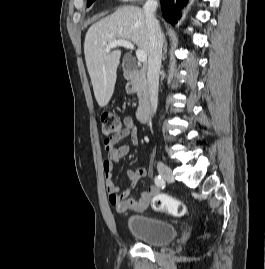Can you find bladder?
Here are the masks:
<instances>
[{
  "label": "bladder",
  "instance_id": "bladder-1",
  "mask_svg": "<svg viewBox=\"0 0 265 269\" xmlns=\"http://www.w3.org/2000/svg\"><path fill=\"white\" fill-rule=\"evenodd\" d=\"M126 227L128 232L140 242L151 246L169 244L177 234L173 224L145 215L129 216Z\"/></svg>",
  "mask_w": 265,
  "mask_h": 269
}]
</instances>
